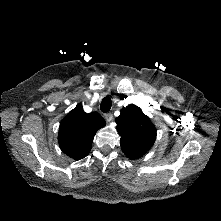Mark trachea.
Here are the masks:
<instances>
[{"label": "trachea", "mask_w": 221, "mask_h": 221, "mask_svg": "<svg viewBox=\"0 0 221 221\" xmlns=\"http://www.w3.org/2000/svg\"><path fill=\"white\" fill-rule=\"evenodd\" d=\"M112 101L110 97H105L103 98L101 105H100V110L104 113L108 112L111 109Z\"/></svg>", "instance_id": "3493384b"}]
</instances>
